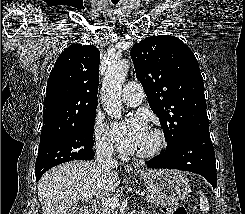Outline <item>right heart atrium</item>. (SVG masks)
Wrapping results in <instances>:
<instances>
[{
	"label": "right heart atrium",
	"instance_id": "right-heart-atrium-1",
	"mask_svg": "<svg viewBox=\"0 0 245 214\" xmlns=\"http://www.w3.org/2000/svg\"><path fill=\"white\" fill-rule=\"evenodd\" d=\"M93 136L95 148L100 155L112 156L114 154L115 147L109 129L99 118L94 122Z\"/></svg>",
	"mask_w": 245,
	"mask_h": 214
}]
</instances>
